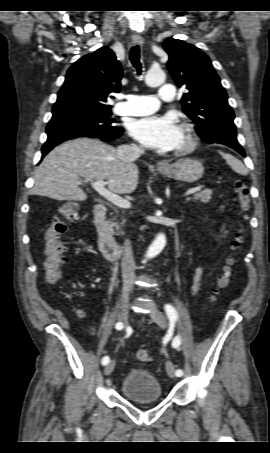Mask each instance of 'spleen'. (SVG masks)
I'll return each mask as SVG.
<instances>
[{
    "mask_svg": "<svg viewBox=\"0 0 270 453\" xmlns=\"http://www.w3.org/2000/svg\"><path fill=\"white\" fill-rule=\"evenodd\" d=\"M222 157L226 160V163L237 173L246 175L247 174V169L245 166L242 164L241 161H239L237 158L232 156L231 154H226L224 152H219Z\"/></svg>",
    "mask_w": 270,
    "mask_h": 453,
    "instance_id": "obj_1",
    "label": "spleen"
}]
</instances>
